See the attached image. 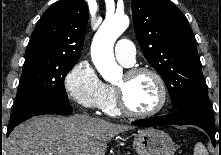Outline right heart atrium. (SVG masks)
Masks as SVG:
<instances>
[{"label": "right heart atrium", "mask_w": 221, "mask_h": 155, "mask_svg": "<svg viewBox=\"0 0 221 155\" xmlns=\"http://www.w3.org/2000/svg\"><path fill=\"white\" fill-rule=\"evenodd\" d=\"M64 86L77 104L88 109H100L107 96L106 84L88 60L79 61L69 70Z\"/></svg>", "instance_id": "d8ad5b80"}]
</instances>
